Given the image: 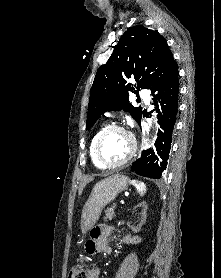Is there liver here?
Listing matches in <instances>:
<instances>
[{
    "label": "liver",
    "instance_id": "obj_1",
    "mask_svg": "<svg viewBox=\"0 0 221 278\" xmlns=\"http://www.w3.org/2000/svg\"><path fill=\"white\" fill-rule=\"evenodd\" d=\"M93 179H94V177H84L83 179H82V181L80 182V184H79V187H78V195L80 196L81 194H82V192H83V189L85 188V186L88 184V183H90L91 181H93Z\"/></svg>",
    "mask_w": 221,
    "mask_h": 278
}]
</instances>
